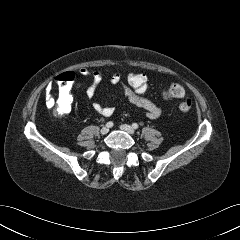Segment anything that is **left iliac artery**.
<instances>
[{
    "instance_id": "44dca946",
    "label": "left iliac artery",
    "mask_w": 240,
    "mask_h": 240,
    "mask_svg": "<svg viewBox=\"0 0 240 240\" xmlns=\"http://www.w3.org/2000/svg\"><path fill=\"white\" fill-rule=\"evenodd\" d=\"M132 127H133L134 129H137V128H138V124H137V123H133V124H132Z\"/></svg>"
}]
</instances>
